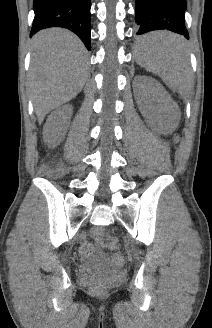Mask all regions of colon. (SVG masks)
I'll list each match as a JSON object with an SVG mask.
<instances>
[{"label": "colon", "mask_w": 212, "mask_h": 328, "mask_svg": "<svg viewBox=\"0 0 212 328\" xmlns=\"http://www.w3.org/2000/svg\"><path fill=\"white\" fill-rule=\"evenodd\" d=\"M98 239L103 240L105 244L111 249L118 250L119 248V241L113 235H107L104 238H101L100 235L98 234ZM113 260L117 265H122L125 261L124 256L119 251H116V253L113 256ZM94 289L96 291H102L104 289V286L101 283H96L94 285Z\"/></svg>", "instance_id": "colon-1"}]
</instances>
